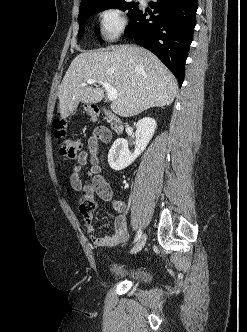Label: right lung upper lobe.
Returning <instances> with one entry per match:
<instances>
[{
	"label": "right lung upper lobe",
	"instance_id": "cb5924a9",
	"mask_svg": "<svg viewBox=\"0 0 247 332\" xmlns=\"http://www.w3.org/2000/svg\"><path fill=\"white\" fill-rule=\"evenodd\" d=\"M106 0H81L80 9Z\"/></svg>",
	"mask_w": 247,
	"mask_h": 332
}]
</instances>
